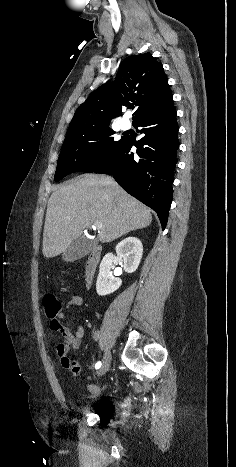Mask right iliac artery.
Returning <instances> with one entry per match:
<instances>
[{
    "label": "right iliac artery",
    "mask_w": 236,
    "mask_h": 467,
    "mask_svg": "<svg viewBox=\"0 0 236 467\" xmlns=\"http://www.w3.org/2000/svg\"><path fill=\"white\" fill-rule=\"evenodd\" d=\"M101 365H102L101 361H98V362L96 363V365H95V368H96V369H99V368L101 367Z\"/></svg>",
    "instance_id": "obj_1"
}]
</instances>
